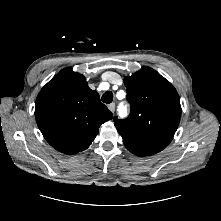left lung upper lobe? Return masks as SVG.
I'll return each instance as SVG.
<instances>
[{
  "instance_id": "5c2ea615",
  "label": "left lung upper lobe",
  "mask_w": 221,
  "mask_h": 221,
  "mask_svg": "<svg viewBox=\"0 0 221 221\" xmlns=\"http://www.w3.org/2000/svg\"><path fill=\"white\" fill-rule=\"evenodd\" d=\"M131 105L127 119L114 118L125 147L149 156L165 149L173 139L181 116L180 98L173 85L154 69L144 66L124 78Z\"/></svg>"
}]
</instances>
